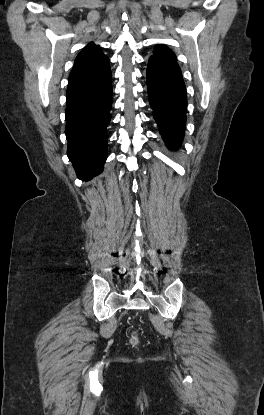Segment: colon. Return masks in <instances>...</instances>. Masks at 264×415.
<instances>
[{
    "label": "colon",
    "instance_id": "1",
    "mask_svg": "<svg viewBox=\"0 0 264 415\" xmlns=\"http://www.w3.org/2000/svg\"><path fill=\"white\" fill-rule=\"evenodd\" d=\"M132 343H136V338H132Z\"/></svg>",
    "mask_w": 264,
    "mask_h": 415
}]
</instances>
